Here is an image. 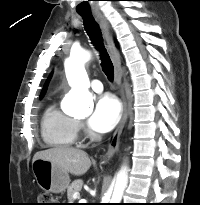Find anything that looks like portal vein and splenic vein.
Returning <instances> with one entry per match:
<instances>
[{
  "instance_id": "portal-vein-and-splenic-vein-1",
  "label": "portal vein and splenic vein",
  "mask_w": 200,
  "mask_h": 205,
  "mask_svg": "<svg viewBox=\"0 0 200 205\" xmlns=\"http://www.w3.org/2000/svg\"><path fill=\"white\" fill-rule=\"evenodd\" d=\"M79 196H80L79 192H75L73 194V199L75 200V199L79 198Z\"/></svg>"
}]
</instances>
